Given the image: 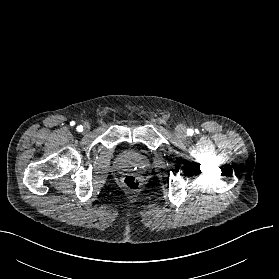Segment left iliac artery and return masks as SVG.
Masks as SVG:
<instances>
[{"label": "left iliac artery", "instance_id": "1", "mask_svg": "<svg viewBox=\"0 0 279 279\" xmlns=\"http://www.w3.org/2000/svg\"><path fill=\"white\" fill-rule=\"evenodd\" d=\"M187 134L190 135V136L193 135V130L192 129H188L187 130Z\"/></svg>", "mask_w": 279, "mask_h": 279}]
</instances>
